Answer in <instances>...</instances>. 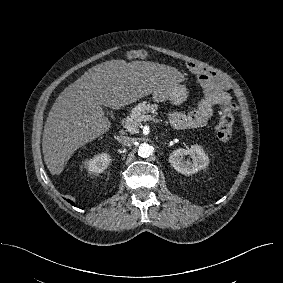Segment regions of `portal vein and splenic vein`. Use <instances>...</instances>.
<instances>
[{
    "label": "portal vein and splenic vein",
    "mask_w": 283,
    "mask_h": 283,
    "mask_svg": "<svg viewBox=\"0 0 283 283\" xmlns=\"http://www.w3.org/2000/svg\"><path fill=\"white\" fill-rule=\"evenodd\" d=\"M150 118L148 115H142L141 116V121H148Z\"/></svg>",
    "instance_id": "portal-vein-and-splenic-vein-1"
}]
</instances>
